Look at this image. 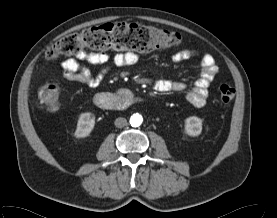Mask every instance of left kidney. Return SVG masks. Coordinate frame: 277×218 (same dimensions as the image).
Returning a JSON list of instances; mask_svg holds the SVG:
<instances>
[{"label": "left kidney", "instance_id": "obj_1", "mask_svg": "<svg viewBox=\"0 0 277 218\" xmlns=\"http://www.w3.org/2000/svg\"><path fill=\"white\" fill-rule=\"evenodd\" d=\"M185 132L189 136H198L202 132V120L196 116L185 119Z\"/></svg>", "mask_w": 277, "mask_h": 218}]
</instances>
